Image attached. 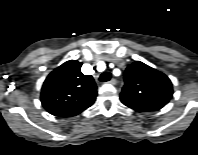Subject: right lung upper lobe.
<instances>
[{
    "instance_id": "right-lung-upper-lobe-1",
    "label": "right lung upper lobe",
    "mask_w": 198,
    "mask_h": 155,
    "mask_svg": "<svg viewBox=\"0 0 198 155\" xmlns=\"http://www.w3.org/2000/svg\"><path fill=\"white\" fill-rule=\"evenodd\" d=\"M82 63L70 60L52 71L43 83L41 103L52 115L75 116L96 99L97 87L90 75L81 72Z\"/></svg>"
}]
</instances>
